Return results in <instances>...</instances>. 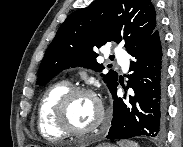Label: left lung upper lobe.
<instances>
[{
	"label": "left lung upper lobe",
	"instance_id": "5c2ea615",
	"mask_svg": "<svg viewBox=\"0 0 183 147\" xmlns=\"http://www.w3.org/2000/svg\"><path fill=\"white\" fill-rule=\"evenodd\" d=\"M159 27L151 0H96L71 13L60 26L40 65L37 85L77 65L101 72L105 67L96 61L94 48L124 41L129 53ZM103 80L111 91L118 74L110 70Z\"/></svg>",
	"mask_w": 183,
	"mask_h": 147
}]
</instances>
